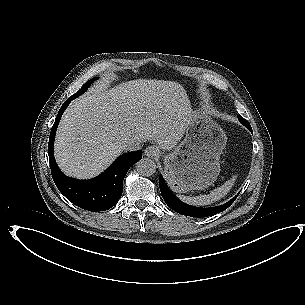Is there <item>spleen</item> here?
I'll list each match as a JSON object with an SVG mask.
<instances>
[{
  "mask_svg": "<svg viewBox=\"0 0 305 305\" xmlns=\"http://www.w3.org/2000/svg\"><path fill=\"white\" fill-rule=\"evenodd\" d=\"M233 181L230 179L226 181L222 186L215 188L210 192V194L207 195H199V196H184L179 195L178 197L183 202L193 205V206H204L211 204L213 202H216L220 200L223 196L227 194V192L230 190L232 186Z\"/></svg>",
  "mask_w": 305,
  "mask_h": 305,
  "instance_id": "spleen-1",
  "label": "spleen"
}]
</instances>
